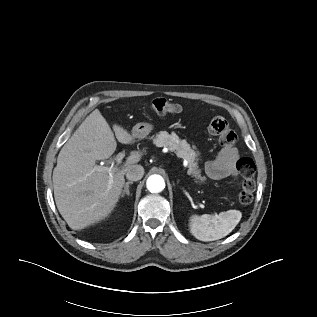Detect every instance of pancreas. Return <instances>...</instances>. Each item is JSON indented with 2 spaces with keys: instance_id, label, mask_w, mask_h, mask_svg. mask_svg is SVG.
I'll return each mask as SVG.
<instances>
[{
  "instance_id": "pancreas-1",
  "label": "pancreas",
  "mask_w": 317,
  "mask_h": 317,
  "mask_svg": "<svg viewBox=\"0 0 317 317\" xmlns=\"http://www.w3.org/2000/svg\"><path fill=\"white\" fill-rule=\"evenodd\" d=\"M157 147H167L174 152L177 157L186 160L189 164V174H192L198 181L203 182L204 177L200 175V170L197 166L199 153L194 151L186 140H181L176 133L169 134L166 131H161L153 140Z\"/></svg>"
}]
</instances>
